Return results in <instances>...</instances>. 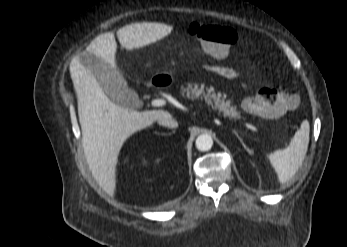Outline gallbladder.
<instances>
[{"label":"gallbladder","mask_w":347,"mask_h":247,"mask_svg":"<svg viewBox=\"0 0 347 247\" xmlns=\"http://www.w3.org/2000/svg\"><path fill=\"white\" fill-rule=\"evenodd\" d=\"M80 62L91 71L104 93L114 103L125 108L137 106L138 95L128 88L120 71L90 53L81 54Z\"/></svg>","instance_id":"1"}]
</instances>
